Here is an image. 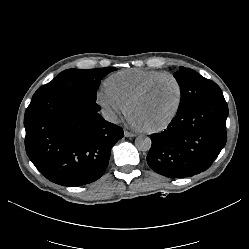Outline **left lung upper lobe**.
Here are the masks:
<instances>
[{"mask_svg": "<svg viewBox=\"0 0 249 249\" xmlns=\"http://www.w3.org/2000/svg\"><path fill=\"white\" fill-rule=\"evenodd\" d=\"M173 75L181 91V100L177 113L188 109L197 102L224 97L216 83L204 78L190 68L180 67Z\"/></svg>", "mask_w": 249, "mask_h": 249, "instance_id": "left-lung-upper-lobe-1", "label": "left lung upper lobe"}]
</instances>
